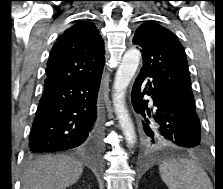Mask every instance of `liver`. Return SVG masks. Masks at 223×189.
Wrapping results in <instances>:
<instances>
[{
    "mask_svg": "<svg viewBox=\"0 0 223 189\" xmlns=\"http://www.w3.org/2000/svg\"><path fill=\"white\" fill-rule=\"evenodd\" d=\"M83 164L69 156H47L30 164L21 178V189H65L78 181Z\"/></svg>",
    "mask_w": 223,
    "mask_h": 189,
    "instance_id": "1",
    "label": "liver"
}]
</instances>
